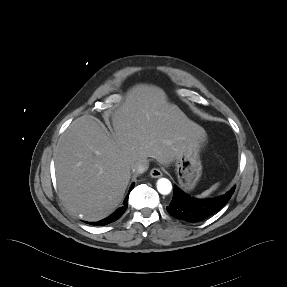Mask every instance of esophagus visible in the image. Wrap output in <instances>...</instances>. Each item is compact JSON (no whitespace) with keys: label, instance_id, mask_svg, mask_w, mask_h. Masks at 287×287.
Wrapping results in <instances>:
<instances>
[{"label":"esophagus","instance_id":"34e87169","mask_svg":"<svg viewBox=\"0 0 287 287\" xmlns=\"http://www.w3.org/2000/svg\"><path fill=\"white\" fill-rule=\"evenodd\" d=\"M163 175L162 171L159 168H153L150 171V176L153 178H159Z\"/></svg>","mask_w":287,"mask_h":287}]
</instances>
